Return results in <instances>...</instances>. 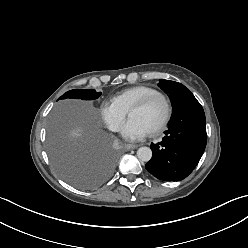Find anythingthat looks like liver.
<instances>
[{"label":"liver","mask_w":248,"mask_h":248,"mask_svg":"<svg viewBox=\"0 0 248 248\" xmlns=\"http://www.w3.org/2000/svg\"><path fill=\"white\" fill-rule=\"evenodd\" d=\"M82 132H83V129H81V128H75V129H73L72 131H71V136L72 137H79V136H81V134H82Z\"/></svg>","instance_id":"6515ba94"}]
</instances>
